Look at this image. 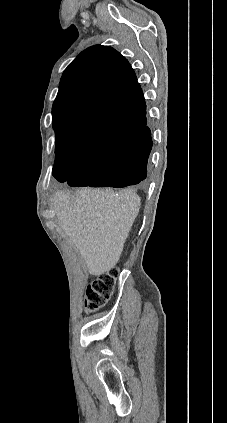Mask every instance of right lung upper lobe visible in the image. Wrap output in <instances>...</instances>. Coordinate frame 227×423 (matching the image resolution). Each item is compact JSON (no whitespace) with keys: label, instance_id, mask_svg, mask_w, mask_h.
Returning <instances> with one entry per match:
<instances>
[{"label":"right lung upper lobe","instance_id":"1","mask_svg":"<svg viewBox=\"0 0 227 423\" xmlns=\"http://www.w3.org/2000/svg\"><path fill=\"white\" fill-rule=\"evenodd\" d=\"M143 97L128 61L109 46L95 45L65 69L53 103L56 144L91 154L119 142L135 130L122 120H107L99 110Z\"/></svg>","mask_w":227,"mask_h":423}]
</instances>
